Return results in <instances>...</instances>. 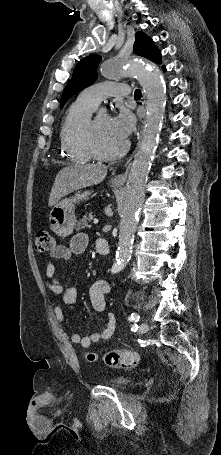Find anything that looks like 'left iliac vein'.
<instances>
[{"label":"left iliac vein","instance_id":"4c4485c4","mask_svg":"<svg viewBox=\"0 0 221 455\" xmlns=\"http://www.w3.org/2000/svg\"><path fill=\"white\" fill-rule=\"evenodd\" d=\"M148 329H149L148 324L145 322L141 323L139 326V332L141 334H145L148 331Z\"/></svg>","mask_w":221,"mask_h":455}]
</instances>
